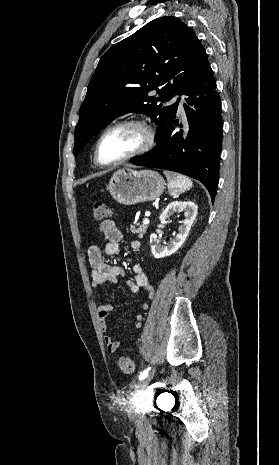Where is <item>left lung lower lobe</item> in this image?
Listing matches in <instances>:
<instances>
[{
    "mask_svg": "<svg viewBox=\"0 0 279 465\" xmlns=\"http://www.w3.org/2000/svg\"><path fill=\"white\" fill-rule=\"evenodd\" d=\"M186 131L174 132V120L156 146L131 159L134 165L175 171L199 180L212 201L217 192L223 123L221 101L207 54L185 88ZM182 128V125H179Z\"/></svg>",
    "mask_w": 279,
    "mask_h": 465,
    "instance_id": "obj_1",
    "label": "left lung lower lobe"
}]
</instances>
